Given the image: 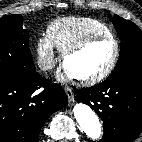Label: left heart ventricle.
Here are the masks:
<instances>
[{
    "label": "left heart ventricle",
    "mask_w": 142,
    "mask_h": 142,
    "mask_svg": "<svg viewBox=\"0 0 142 142\" xmlns=\"http://www.w3.org/2000/svg\"><path fill=\"white\" fill-rule=\"evenodd\" d=\"M114 55V44L111 40H98L82 51L69 56L65 68L73 77L85 78L104 70Z\"/></svg>",
    "instance_id": "obj_1"
}]
</instances>
